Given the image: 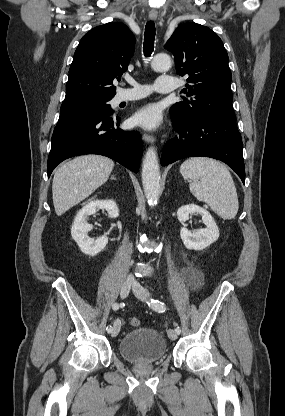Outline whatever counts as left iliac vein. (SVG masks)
<instances>
[{"label": "left iliac vein", "instance_id": "1", "mask_svg": "<svg viewBox=\"0 0 285 416\" xmlns=\"http://www.w3.org/2000/svg\"><path fill=\"white\" fill-rule=\"evenodd\" d=\"M132 290L135 296L143 301L146 300V297L149 295V292L140 285V283L135 282L132 286ZM168 336L171 340L177 339V333L173 329L168 330Z\"/></svg>", "mask_w": 285, "mask_h": 416}]
</instances>
